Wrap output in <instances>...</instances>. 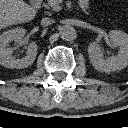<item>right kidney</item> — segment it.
I'll list each match as a JSON object with an SVG mask.
<instances>
[{
  "label": "right kidney",
  "instance_id": "1",
  "mask_svg": "<svg viewBox=\"0 0 128 128\" xmlns=\"http://www.w3.org/2000/svg\"><path fill=\"white\" fill-rule=\"evenodd\" d=\"M25 34L26 30L24 28H15L12 30L5 31L0 35L1 65L7 68L21 69L28 67L34 62L37 54V44L35 42H31L29 44L26 56L22 59H15L14 57H12L14 49L8 47L11 41H15L16 43L21 42Z\"/></svg>",
  "mask_w": 128,
  "mask_h": 128
}]
</instances>
